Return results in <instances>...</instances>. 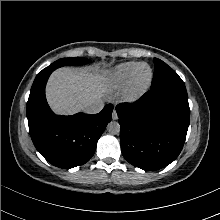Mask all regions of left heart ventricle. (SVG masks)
Masks as SVG:
<instances>
[{"instance_id": "obj_1", "label": "left heart ventricle", "mask_w": 220, "mask_h": 220, "mask_svg": "<svg viewBox=\"0 0 220 220\" xmlns=\"http://www.w3.org/2000/svg\"><path fill=\"white\" fill-rule=\"evenodd\" d=\"M148 74H149L148 68H147V67H142V68L139 70V72H138V78H139L140 80H143V79H145V78L148 76Z\"/></svg>"}]
</instances>
